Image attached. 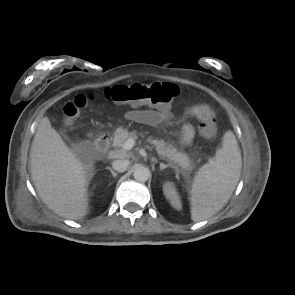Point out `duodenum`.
I'll return each instance as SVG.
<instances>
[{"instance_id": "1", "label": "duodenum", "mask_w": 295, "mask_h": 295, "mask_svg": "<svg viewBox=\"0 0 295 295\" xmlns=\"http://www.w3.org/2000/svg\"><path fill=\"white\" fill-rule=\"evenodd\" d=\"M110 138L108 135H100L94 142V148L98 153H105L109 149Z\"/></svg>"}]
</instances>
